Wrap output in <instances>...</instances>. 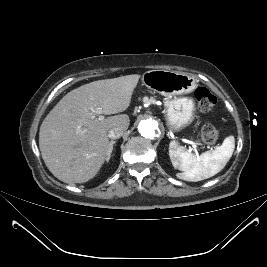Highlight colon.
I'll list each match as a JSON object with an SVG mask.
<instances>
[{
	"label": "colon",
	"mask_w": 267,
	"mask_h": 267,
	"mask_svg": "<svg viewBox=\"0 0 267 267\" xmlns=\"http://www.w3.org/2000/svg\"><path fill=\"white\" fill-rule=\"evenodd\" d=\"M201 111L210 115L216 105V97L205 87H199L195 91ZM201 139L207 145L215 144L219 139V133L212 125H205L201 130Z\"/></svg>",
	"instance_id": "5ec220e1"
}]
</instances>
